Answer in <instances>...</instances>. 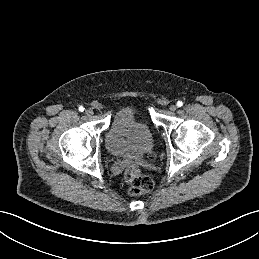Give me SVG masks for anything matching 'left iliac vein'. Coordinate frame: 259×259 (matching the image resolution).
<instances>
[{
	"instance_id": "1",
	"label": "left iliac vein",
	"mask_w": 259,
	"mask_h": 259,
	"mask_svg": "<svg viewBox=\"0 0 259 259\" xmlns=\"http://www.w3.org/2000/svg\"><path fill=\"white\" fill-rule=\"evenodd\" d=\"M176 109H177V106H176V105H171V106L169 107V110L172 111V112L176 111Z\"/></svg>"
}]
</instances>
